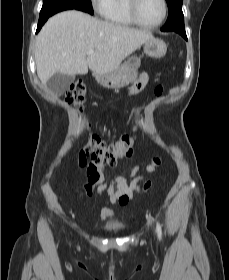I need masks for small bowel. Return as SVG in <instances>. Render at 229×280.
Masks as SVG:
<instances>
[{
    "label": "small bowel",
    "instance_id": "1",
    "mask_svg": "<svg viewBox=\"0 0 229 280\" xmlns=\"http://www.w3.org/2000/svg\"><path fill=\"white\" fill-rule=\"evenodd\" d=\"M148 82V75L143 73L139 80L135 82L129 89V95L139 93ZM155 93L160 95L162 93V87L158 86L155 89ZM139 166L136 165L127 176H119L115 179L113 185L107 186L101 184L100 179L96 182L87 181L85 189L88 195H92L94 191L97 193H107L110 197L111 202H119L121 205H126L129 200L133 197V194L138 191L145 182L144 177L137 175ZM113 215V211L110 208H103L101 210V217L108 219Z\"/></svg>",
    "mask_w": 229,
    "mask_h": 280
}]
</instances>
